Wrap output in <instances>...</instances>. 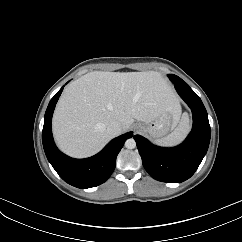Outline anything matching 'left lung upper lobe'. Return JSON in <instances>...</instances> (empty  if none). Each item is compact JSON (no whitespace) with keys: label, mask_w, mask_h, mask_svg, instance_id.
<instances>
[{"label":"left lung upper lobe","mask_w":242,"mask_h":242,"mask_svg":"<svg viewBox=\"0 0 242 242\" xmlns=\"http://www.w3.org/2000/svg\"><path fill=\"white\" fill-rule=\"evenodd\" d=\"M169 79L175 84V85H188L186 82H184L181 78L174 74L168 75Z\"/></svg>","instance_id":"obj_1"}]
</instances>
